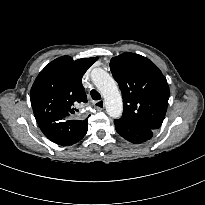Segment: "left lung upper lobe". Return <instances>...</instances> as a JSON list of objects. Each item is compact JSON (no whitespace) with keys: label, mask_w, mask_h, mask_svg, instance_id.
Listing matches in <instances>:
<instances>
[{"label":"left lung upper lobe","mask_w":205,"mask_h":205,"mask_svg":"<svg viewBox=\"0 0 205 205\" xmlns=\"http://www.w3.org/2000/svg\"><path fill=\"white\" fill-rule=\"evenodd\" d=\"M123 97L122 119L156 130L164 120L169 86L158 67L146 57L126 52L110 61Z\"/></svg>","instance_id":"1"}]
</instances>
